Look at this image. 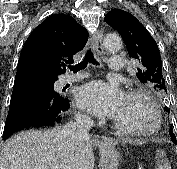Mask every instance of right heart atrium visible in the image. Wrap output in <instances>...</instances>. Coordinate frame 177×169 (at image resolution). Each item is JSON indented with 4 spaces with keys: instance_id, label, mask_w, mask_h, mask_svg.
I'll list each match as a JSON object with an SVG mask.
<instances>
[{
    "instance_id": "d8ad5b80",
    "label": "right heart atrium",
    "mask_w": 177,
    "mask_h": 169,
    "mask_svg": "<svg viewBox=\"0 0 177 169\" xmlns=\"http://www.w3.org/2000/svg\"><path fill=\"white\" fill-rule=\"evenodd\" d=\"M78 118H79V119H85L86 117L83 116V115H79Z\"/></svg>"
}]
</instances>
